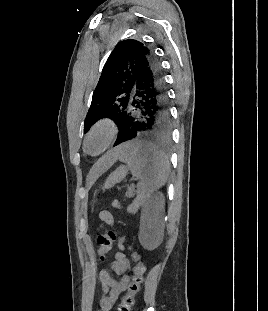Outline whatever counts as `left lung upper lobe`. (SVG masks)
I'll return each instance as SVG.
<instances>
[{
	"instance_id": "5c2ea615",
	"label": "left lung upper lobe",
	"mask_w": 268,
	"mask_h": 311,
	"mask_svg": "<svg viewBox=\"0 0 268 311\" xmlns=\"http://www.w3.org/2000/svg\"><path fill=\"white\" fill-rule=\"evenodd\" d=\"M152 51L137 40H123L110 54L93 92L91 106L84 121V132L100 118L114 120L120 129L130 109L137 72Z\"/></svg>"
}]
</instances>
